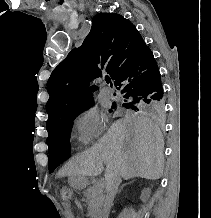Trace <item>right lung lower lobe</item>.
<instances>
[{
  "label": "right lung lower lobe",
  "instance_id": "1",
  "mask_svg": "<svg viewBox=\"0 0 211 218\" xmlns=\"http://www.w3.org/2000/svg\"><path fill=\"white\" fill-rule=\"evenodd\" d=\"M126 98L163 99V87L157 63L151 50L143 53L114 80Z\"/></svg>",
  "mask_w": 211,
  "mask_h": 218
}]
</instances>
